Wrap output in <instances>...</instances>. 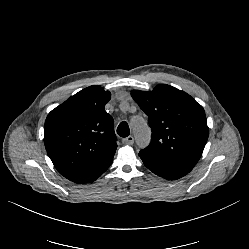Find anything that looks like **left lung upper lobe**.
<instances>
[{"mask_svg": "<svg viewBox=\"0 0 249 249\" xmlns=\"http://www.w3.org/2000/svg\"><path fill=\"white\" fill-rule=\"evenodd\" d=\"M131 95L148 116L152 139L140 157L162 159L193 168L200 159L209 129L203 107L190 95L166 84Z\"/></svg>", "mask_w": 249, "mask_h": 249, "instance_id": "1", "label": "left lung upper lobe"}]
</instances>
